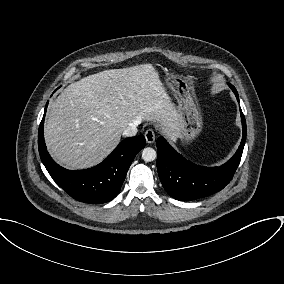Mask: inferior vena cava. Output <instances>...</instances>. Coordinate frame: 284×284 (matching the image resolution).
Listing matches in <instances>:
<instances>
[{
  "label": "inferior vena cava",
  "mask_w": 284,
  "mask_h": 284,
  "mask_svg": "<svg viewBox=\"0 0 284 284\" xmlns=\"http://www.w3.org/2000/svg\"><path fill=\"white\" fill-rule=\"evenodd\" d=\"M136 134H137V128L135 124L128 125L123 131V136L127 137L135 136Z\"/></svg>",
  "instance_id": "inferior-vena-cava-1"
}]
</instances>
